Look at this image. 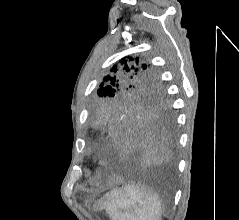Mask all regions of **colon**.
I'll list each match as a JSON object with an SVG mask.
<instances>
[{
	"label": "colon",
	"instance_id": "obj_1",
	"mask_svg": "<svg viewBox=\"0 0 239 220\" xmlns=\"http://www.w3.org/2000/svg\"><path fill=\"white\" fill-rule=\"evenodd\" d=\"M108 92H109V90H108V89H105V90L103 91V95H107Z\"/></svg>",
	"mask_w": 239,
	"mask_h": 220
}]
</instances>
